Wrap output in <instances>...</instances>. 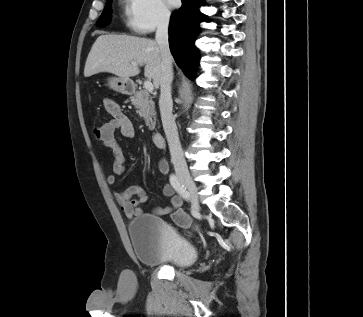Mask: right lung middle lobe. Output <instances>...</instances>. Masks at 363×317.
<instances>
[{
    "label": "right lung middle lobe",
    "mask_w": 363,
    "mask_h": 317,
    "mask_svg": "<svg viewBox=\"0 0 363 317\" xmlns=\"http://www.w3.org/2000/svg\"><path fill=\"white\" fill-rule=\"evenodd\" d=\"M111 1L112 0H107L105 8L97 21L98 26H104L109 23L111 17Z\"/></svg>",
    "instance_id": "right-lung-middle-lobe-1"
}]
</instances>
